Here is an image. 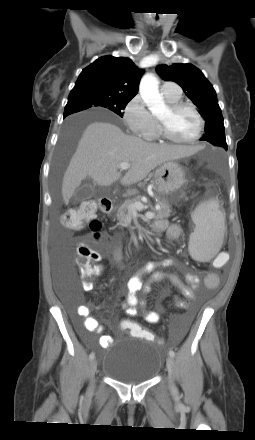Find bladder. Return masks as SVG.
Returning <instances> with one entry per match:
<instances>
[{"mask_svg":"<svg viewBox=\"0 0 255 440\" xmlns=\"http://www.w3.org/2000/svg\"><path fill=\"white\" fill-rule=\"evenodd\" d=\"M161 364L160 348L151 341L140 338L134 346L114 345L102 371L120 383L136 385L152 380L159 372Z\"/></svg>","mask_w":255,"mask_h":440,"instance_id":"obj_1","label":"bladder"}]
</instances>
